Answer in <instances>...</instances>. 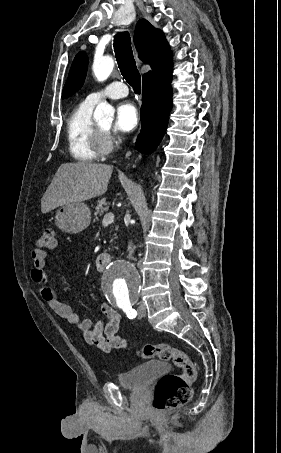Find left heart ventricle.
<instances>
[{
  "mask_svg": "<svg viewBox=\"0 0 281 453\" xmlns=\"http://www.w3.org/2000/svg\"><path fill=\"white\" fill-rule=\"evenodd\" d=\"M103 129L109 130L111 123L98 124Z\"/></svg>",
  "mask_w": 281,
  "mask_h": 453,
  "instance_id": "b2bd125f",
  "label": "left heart ventricle"
}]
</instances>
